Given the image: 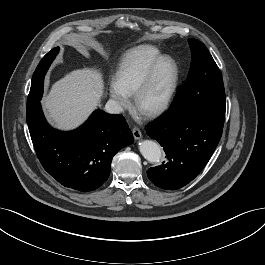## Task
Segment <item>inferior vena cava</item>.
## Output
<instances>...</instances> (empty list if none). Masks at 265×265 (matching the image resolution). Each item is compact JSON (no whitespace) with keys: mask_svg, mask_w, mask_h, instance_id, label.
<instances>
[{"mask_svg":"<svg viewBox=\"0 0 265 265\" xmlns=\"http://www.w3.org/2000/svg\"><path fill=\"white\" fill-rule=\"evenodd\" d=\"M105 111L110 114H119L123 109L117 101L109 100L105 105Z\"/></svg>","mask_w":265,"mask_h":265,"instance_id":"inferior-vena-cava-1","label":"inferior vena cava"}]
</instances>
